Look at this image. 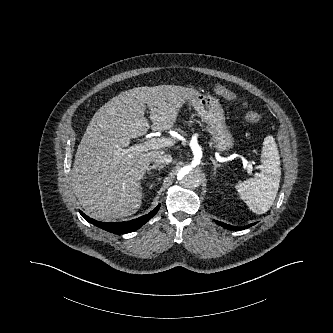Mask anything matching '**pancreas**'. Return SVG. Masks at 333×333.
Segmentation results:
<instances>
[{
    "label": "pancreas",
    "instance_id": "pancreas-1",
    "mask_svg": "<svg viewBox=\"0 0 333 333\" xmlns=\"http://www.w3.org/2000/svg\"><path fill=\"white\" fill-rule=\"evenodd\" d=\"M188 124L192 123V121L187 122Z\"/></svg>",
    "mask_w": 333,
    "mask_h": 333
}]
</instances>
